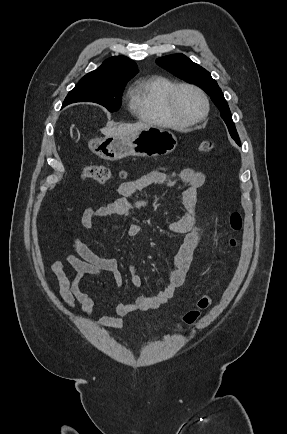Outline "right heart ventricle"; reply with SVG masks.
Wrapping results in <instances>:
<instances>
[{"label": "right heart ventricle", "mask_w": 287, "mask_h": 434, "mask_svg": "<svg viewBox=\"0 0 287 434\" xmlns=\"http://www.w3.org/2000/svg\"><path fill=\"white\" fill-rule=\"evenodd\" d=\"M174 85L173 81L164 76L153 75L139 79L131 91V109L144 122L163 127H183L167 108V94Z\"/></svg>", "instance_id": "1"}]
</instances>
